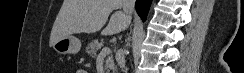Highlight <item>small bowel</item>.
Wrapping results in <instances>:
<instances>
[{"instance_id":"small-bowel-1","label":"small bowel","mask_w":244,"mask_h":73,"mask_svg":"<svg viewBox=\"0 0 244 73\" xmlns=\"http://www.w3.org/2000/svg\"><path fill=\"white\" fill-rule=\"evenodd\" d=\"M78 73H85V71L84 70H78Z\"/></svg>"}]
</instances>
